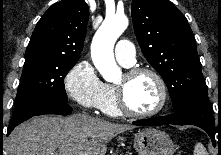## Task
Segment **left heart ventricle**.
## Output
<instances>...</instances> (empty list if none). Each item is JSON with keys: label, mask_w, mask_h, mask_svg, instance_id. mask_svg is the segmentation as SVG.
<instances>
[{"label": "left heart ventricle", "mask_w": 221, "mask_h": 155, "mask_svg": "<svg viewBox=\"0 0 221 155\" xmlns=\"http://www.w3.org/2000/svg\"><path fill=\"white\" fill-rule=\"evenodd\" d=\"M116 85L124 86L127 101L137 112H149L159 105L160 89L149 74H140L130 80L122 75Z\"/></svg>", "instance_id": "b2bd125f"}]
</instances>
